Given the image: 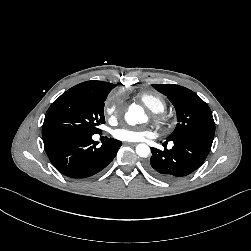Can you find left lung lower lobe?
I'll return each instance as SVG.
<instances>
[{
	"label": "left lung lower lobe",
	"instance_id": "left-lung-lower-lobe-1",
	"mask_svg": "<svg viewBox=\"0 0 251 251\" xmlns=\"http://www.w3.org/2000/svg\"><path fill=\"white\" fill-rule=\"evenodd\" d=\"M171 141L172 149L151 148L152 156L146 165L149 173L164 181L177 180L200 167L211 150L213 139L188 136Z\"/></svg>",
	"mask_w": 251,
	"mask_h": 251
}]
</instances>
